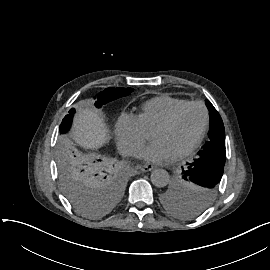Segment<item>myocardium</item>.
Here are the masks:
<instances>
[{"label":"myocardium","mask_w":270,"mask_h":270,"mask_svg":"<svg viewBox=\"0 0 270 270\" xmlns=\"http://www.w3.org/2000/svg\"><path fill=\"white\" fill-rule=\"evenodd\" d=\"M194 106L201 108V110L203 112V122H202L201 130H200V133H199L198 137L196 138V140L187 149H185L184 151H182L181 153H179L177 155V158H179V159L185 158V157L189 156L190 154H192L193 152H195L198 149V147L200 146V144L202 143L203 138L206 134L208 123H209V114H208L206 106L202 102H199V101L188 102L186 105H184L183 107L176 110L169 118H167L166 120L157 124L154 128V129L170 128V127L174 126L176 124V122L179 120L180 116L187 109L194 107Z\"/></svg>","instance_id":"1"}]
</instances>
